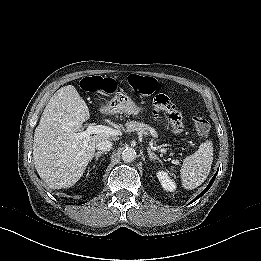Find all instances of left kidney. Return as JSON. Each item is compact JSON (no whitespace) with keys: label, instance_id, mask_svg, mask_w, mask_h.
<instances>
[{"label":"left kidney","instance_id":"obj_1","mask_svg":"<svg viewBox=\"0 0 261 261\" xmlns=\"http://www.w3.org/2000/svg\"><path fill=\"white\" fill-rule=\"evenodd\" d=\"M157 177L166 191L173 192L176 189L175 182L171 180L170 176L165 171H159Z\"/></svg>","mask_w":261,"mask_h":261}]
</instances>
